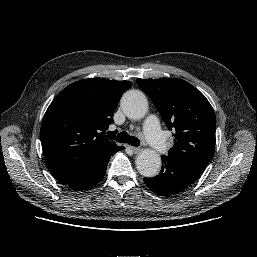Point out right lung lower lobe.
Segmentation results:
<instances>
[{"label": "right lung lower lobe", "mask_w": 257, "mask_h": 257, "mask_svg": "<svg viewBox=\"0 0 257 257\" xmlns=\"http://www.w3.org/2000/svg\"><path fill=\"white\" fill-rule=\"evenodd\" d=\"M122 149L124 148L120 147L116 149L111 154L103 158L96 166L84 172L81 176L66 185L76 191L92 188L103 179L106 173L107 164L111 156Z\"/></svg>", "instance_id": "right-lung-lower-lobe-1"}]
</instances>
